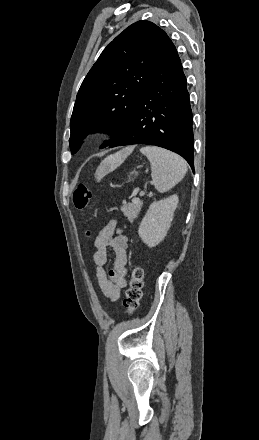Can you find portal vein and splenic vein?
Returning a JSON list of instances; mask_svg holds the SVG:
<instances>
[{"label":"portal vein and splenic vein","instance_id":"1","mask_svg":"<svg viewBox=\"0 0 259 440\" xmlns=\"http://www.w3.org/2000/svg\"><path fill=\"white\" fill-rule=\"evenodd\" d=\"M137 191H139V189H137ZM144 194H145V193H144L143 191H140V193H139L140 196H144ZM139 201H140L139 198H134V199H133V202H135V203H137V202H139Z\"/></svg>","mask_w":259,"mask_h":440}]
</instances>
